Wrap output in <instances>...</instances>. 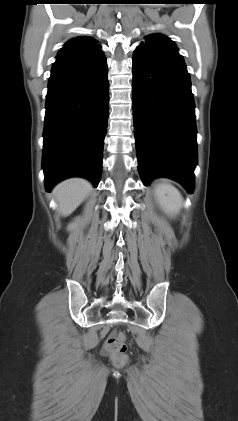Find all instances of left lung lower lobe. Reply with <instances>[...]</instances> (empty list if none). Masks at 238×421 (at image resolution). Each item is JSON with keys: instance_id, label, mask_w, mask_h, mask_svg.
<instances>
[{"instance_id": "1", "label": "left lung lower lobe", "mask_w": 238, "mask_h": 421, "mask_svg": "<svg viewBox=\"0 0 238 421\" xmlns=\"http://www.w3.org/2000/svg\"><path fill=\"white\" fill-rule=\"evenodd\" d=\"M133 116L138 168L144 185L168 177L189 193L197 164L195 104L178 51L137 47L133 55Z\"/></svg>"}]
</instances>
